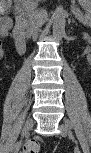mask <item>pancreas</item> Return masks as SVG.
Returning a JSON list of instances; mask_svg holds the SVG:
<instances>
[{
    "instance_id": "1",
    "label": "pancreas",
    "mask_w": 91,
    "mask_h": 153,
    "mask_svg": "<svg viewBox=\"0 0 91 153\" xmlns=\"http://www.w3.org/2000/svg\"><path fill=\"white\" fill-rule=\"evenodd\" d=\"M80 13V11H78V10H75V15L77 16V13ZM78 17V19L80 20V22H82L84 25H86V26H90V24H91V21H90V17H89V15H80V16H77ZM26 29H27V34H29L28 33V24H26Z\"/></svg>"
}]
</instances>
